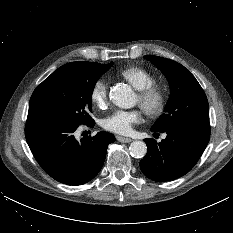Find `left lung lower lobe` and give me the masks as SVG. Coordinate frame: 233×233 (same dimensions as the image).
Here are the masks:
<instances>
[{
    "label": "left lung lower lobe",
    "instance_id": "left-lung-lower-lobe-1",
    "mask_svg": "<svg viewBox=\"0 0 233 233\" xmlns=\"http://www.w3.org/2000/svg\"><path fill=\"white\" fill-rule=\"evenodd\" d=\"M166 139L157 143L144 139L147 155L140 161L143 174L151 180L165 182L188 173L201 157L210 139V123L205 120H188L164 131Z\"/></svg>",
    "mask_w": 233,
    "mask_h": 233
}]
</instances>
